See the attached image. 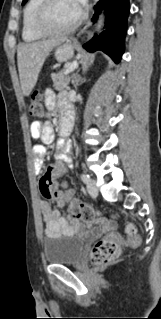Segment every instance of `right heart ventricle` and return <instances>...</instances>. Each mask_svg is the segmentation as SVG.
<instances>
[{"label": "right heart ventricle", "instance_id": "obj_1", "mask_svg": "<svg viewBox=\"0 0 161 319\" xmlns=\"http://www.w3.org/2000/svg\"><path fill=\"white\" fill-rule=\"evenodd\" d=\"M41 2L42 0H28L25 6L22 22V39L24 41H36L43 37L34 27L35 16Z\"/></svg>", "mask_w": 161, "mask_h": 319}]
</instances>
